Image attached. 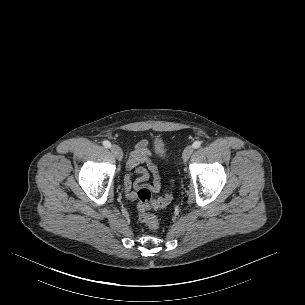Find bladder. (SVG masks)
<instances>
[{"instance_id":"bladder-1","label":"bladder","mask_w":305,"mask_h":305,"mask_svg":"<svg viewBox=\"0 0 305 305\" xmlns=\"http://www.w3.org/2000/svg\"><path fill=\"white\" fill-rule=\"evenodd\" d=\"M153 155L158 160H165L169 156L167 146L162 139L154 141Z\"/></svg>"}]
</instances>
